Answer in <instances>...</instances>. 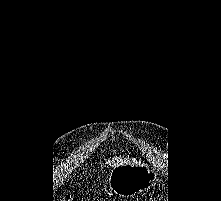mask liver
Returning <instances> with one entry per match:
<instances>
[{"instance_id": "obj_1", "label": "liver", "mask_w": 221, "mask_h": 201, "mask_svg": "<svg viewBox=\"0 0 221 201\" xmlns=\"http://www.w3.org/2000/svg\"><path fill=\"white\" fill-rule=\"evenodd\" d=\"M133 162V160L129 159V158H117V159H113V160H109L108 163L109 165L113 166V167H116L118 165H121V164H126V163H131Z\"/></svg>"}]
</instances>
